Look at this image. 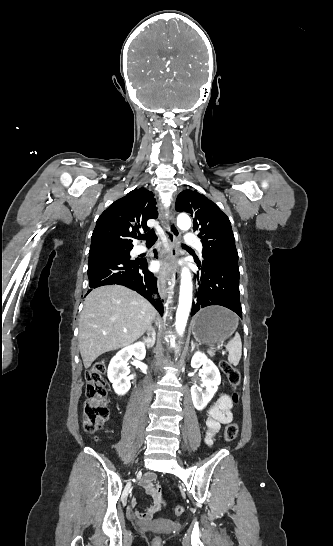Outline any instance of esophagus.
Segmentation results:
<instances>
[{"label": "esophagus", "mask_w": 333, "mask_h": 546, "mask_svg": "<svg viewBox=\"0 0 333 546\" xmlns=\"http://www.w3.org/2000/svg\"><path fill=\"white\" fill-rule=\"evenodd\" d=\"M159 210L162 212V207L159 205ZM166 239L169 245V250L164 259V267L158 275V287L160 294L164 296L167 292L166 282L172 277V266L177 261L179 256L178 241L180 237L179 229L175 225L172 215L169 216L166 222Z\"/></svg>", "instance_id": "esophagus-1"}]
</instances>
